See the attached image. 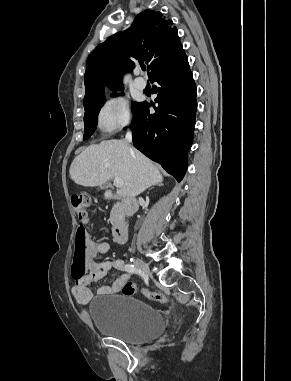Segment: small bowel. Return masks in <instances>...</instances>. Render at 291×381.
I'll list each match as a JSON object with an SVG mask.
<instances>
[{
	"mask_svg": "<svg viewBox=\"0 0 291 381\" xmlns=\"http://www.w3.org/2000/svg\"><path fill=\"white\" fill-rule=\"evenodd\" d=\"M106 231L102 230V236L90 239L87 248L86 265L88 274L79 277L75 280L72 286V295L79 305L87 304L93 294L90 286L103 277L111 270L124 271V262L120 259L107 260L97 262L96 256L105 254L109 251L110 245L105 239ZM131 278L129 273L124 272L112 285H104L98 289L100 295L118 293L124 283L128 282Z\"/></svg>",
	"mask_w": 291,
	"mask_h": 381,
	"instance_id": "obj_1",
	"label": "small bowel"
}]
</instances>
